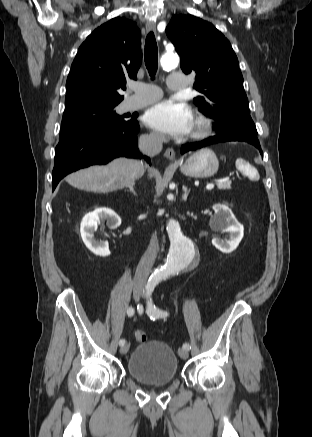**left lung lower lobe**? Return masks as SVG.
Instances as JSON below:
<instances>
[{
    "label": "left lung lower lobe",
    "instance_id": "obj_1",
    "mask_svg": "<svg viewBox=\"0 0 312 437\" xmlns=\"http://www.w3.org/2000/svg\"><path fill=\"white\" fill-rule=\"evenodd\" d=\"M226 141H238V140L236 138L230 136V135L218 132L217 135H215L213 137H210V138H208L206 140H203L201 142L183 145L181 147V154H184V153H186L188 151H192V150H196V149L208 146L210 144H215V143H219V142H226ZM249 143L254 145L256 148H258V150L262 154V150H261L259 142L252 141V142H249Z\"/></svg>",
    "mask_w": 312,
    "mask_h": 437
}]
</instances>
